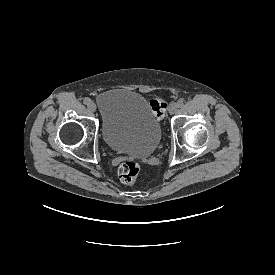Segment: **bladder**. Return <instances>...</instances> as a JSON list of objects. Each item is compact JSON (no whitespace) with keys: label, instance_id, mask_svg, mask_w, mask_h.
I'll use <instances>...</instances> for the list:
<instances>
[{"label":"bladder","instance_id":"1","mask_svg":"<svg viewBox=\"0 0 275 275\" xmlns=\"http://www.w3.org/2000/svg\"><path fill=\"white\" fill-rule=\"evenodd\" d=\"M96 104L103 139L112 150L136 158L153 153L160 141L161 126L142 95L116 89L100 94Z\"/></svg>","mask_w":275,"mask_h":275}]
</instances>
